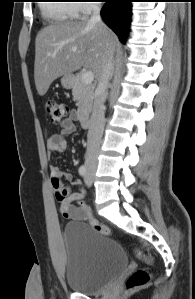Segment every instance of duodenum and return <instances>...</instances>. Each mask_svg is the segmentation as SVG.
Instances as JSON below:
<instances>
[{"instance_id": "duodenum-1", "label": "duodenum", "mask_w": 195, "mask_h": 299, "mask_svg": "<svg viewBox=\"0 0 195 299\" xmlns=\"http://www.w3.org/2000/svg\"><path fill=\"white\" fill-rule=\"evenodd\" d=\"M78 118L82 124L83 127H88L91 124L90 116L84 113H80L78 115Z\"/></svg>"}]
</instances>
